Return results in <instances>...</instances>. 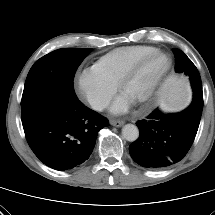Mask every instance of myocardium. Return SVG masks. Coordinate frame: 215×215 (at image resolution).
<instances>
[{"instance_id": "1", "label": "myocardium", "mask_w": 215, "mask_h": 215, "mask_svg": "<svg viewBox=\"0 0 215 215\" xmlns=\"http://www.w3.org/2000/svg\"><path fill=\"white\" fill-rule=\"evenodd\" d=\"M159 55L164 56L166 58V65L163 68V70L161 71V73L158 75V77L156 78L154 83L151 85V87L149 88L147 93L136 101L137 104H144V103L150 101L155 96V94L159 90L160 86L166 79V77L171 69L172 61H171L170 56L166 52H164L162 50H158V49H155V50L143 55L129 67V69L125 72V74L122 76V78L120 79V81L118 83L119 90L121 92H124L125 87L136 77V75L139 73V71L142 69V67L150 59H152L155 56H159Z\"/></svg>"}]
</instances>
